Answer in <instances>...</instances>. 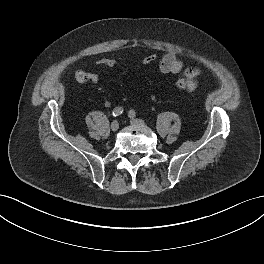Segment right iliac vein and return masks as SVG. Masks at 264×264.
Segmentation results:
<instances>
[{
    "mask_svg": "<svg viewBox=\"0 0 264 264\" xmlns=\"http://www.w3.org/2000/svg\"><path fill=\"white\" fill-rule=\"evenodd\" d=\"M118 128H119V123H118V121H113V122L111 123V130H112V131H117Z\"/></svg>",
    "mask_w": 264,
    "mask_h": 264,
    "instance_id": "1",
    "label": "right iliac vein"
}]
</instances>
